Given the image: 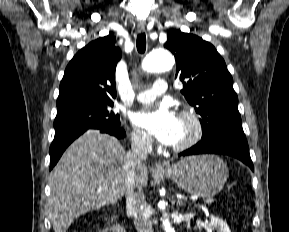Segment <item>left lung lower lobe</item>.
Instances as JSON below:
<instances>
[{
	"label": "left lung lower lobe",
	"instance_id": "0a47b994",
	"mask_svg": "<svg viewBox=\"0 0 289 232\" xmlns=\"http://www.w3.org/2000/svg\"><path fill=\"white\" fill-rule=\"evenodd\" d=\"M197 154H225L233 156L254 170L250 158L249 148L245 135L242 133L222 134L204 141L198 142L193 147L181 152L179 156Z\"/></svg>",
	"mask_w": 289,
	"mask_h": 232
}]
</instances>
